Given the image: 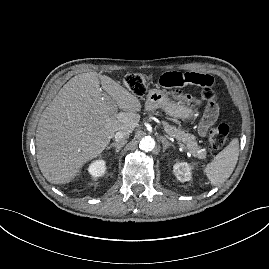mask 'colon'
<instances>
[{
	"instance_id": "1",
	"label": "colon",
	"mask_w": 269,
	"mask_h": 269,
	"mask_svg": "<svg viewBox=\"0 0 269 269\" xmlns=\"http://www.w3.org/2000/svg\"><path fill=\"white\" fill-rule=\"evenodd\" d=\"M149 79L150 77L146 74L132 73L124 78V85L134 94L141 96L147 90ZM201 98L212 104H219L222 101V94L216 89L204 88L201 91ZM228 133L229 127L226 124L212 126L208 131V141L211 147L213 149L222 148L227 141Z\"/></svg>"
}]
</instances>
